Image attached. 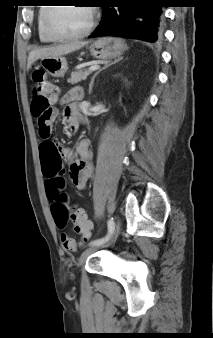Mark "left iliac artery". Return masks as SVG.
Segmentation results:
<instances>
[{
	"instance_id": "left-iliac-artery-1",
	"label": "left iliac artery",
	"mask_w": 213,
	"mask_h": 338,
	"mask_svg": "<svg viewBox=\"0 0 213 338\" xmlns=\"http://www.w3.org/2000/svg\"><path fill=\"white\" fill-rule=\"evenodd\" d=\"M107 226H108V233H107V235H106L105 237H103V238H100V239H96V240H94V241H91V242L89 243V245H98V244H102V243H104V242H106V241L109 240V238L111 237V235H112V233H113V231H114V229H115V223H114L113 218H110V219L108 220Z\"/></svg>"
}]
</instances>
